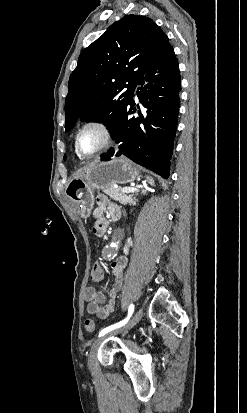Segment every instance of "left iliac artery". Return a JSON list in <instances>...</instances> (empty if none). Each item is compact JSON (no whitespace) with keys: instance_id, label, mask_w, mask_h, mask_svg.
Here are the masks:
<instances>
[{"instance_id":"left-iliac-artery-1","label":"left iliac artery","mask_w":247,"mask_h":413,"mask_svg":"<svg viewBox=\"0 0 247 413\" xmlns=\"http://www.w3.org/2000/svg\"><path fill=\"white\" fill-rule=\"evenodd\" d=\"M133 312H134V305H133V304H130V305H129V308H128V315H127V317H126L124 320H122V321H120V322H118V323H116V324H113V325H111V326H108V327L104 328L103 330H101L100 333H99V337H102V336H104L105 334H107L108 332H110V331H112V330H114V329H117V328L122 327L123 325H125V324L128 322V320L130 319V317L132 316Z\"/></svg>"}]
</instances>
